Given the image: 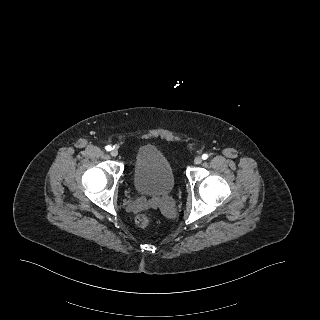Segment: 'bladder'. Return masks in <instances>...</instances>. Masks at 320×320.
I'll return each instance as SVG.
<instances>
[{
	"mask_svg": "<svg viewBox=\"0 0 320 320\" xmlns=\"http://www.w3.org/2000/svg\"><path fill=\"white\" fill-rule=\"evenodd\" d=\"M133 185L147 196H165L175 187L173 168L166 156L154 146H142L135 155Z\"/></svg>",
	"mask_w": 320,
	"mask_h": 320,
	"instance_id": "bladder-1",
	"label": "bladder"
}]
</instances>
